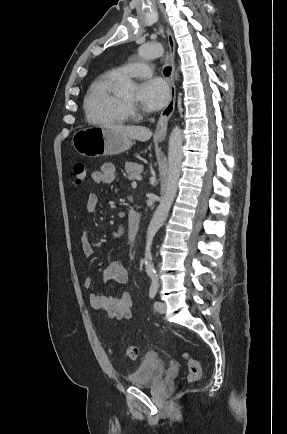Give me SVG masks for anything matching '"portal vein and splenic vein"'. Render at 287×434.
<instances>
[{
	"mask_svg": "<svg viewBox=\"0 0 287 434\" xmlns=\"http://www.w3.org/2000/svg\"><path fill=\"white\" fill-rule=\"evenodd\" d=\"M131 185H132L133 188H135L137 186L136 181H133Z\"/></svg>",
	"mask_w": 287,
	"mask_h": 434,
	"instance_id": "18ae733b",
	"label": "portal vein and splenic vein"
}]
</instances>
